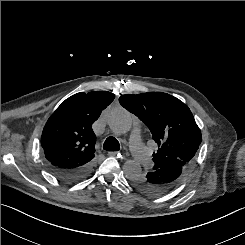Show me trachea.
Here are the masks:
<instances>
[{"label":"trachea","instance_id":"1","mask_svg":"<svg viewBox=\"0 0 245 245\" xmlns=\"http://www.w3.org/2000/svg\"><path fill=\"white\" fill-rule=\"evenodd\" d=\"M103 149L106 151H119L120 145L118 140L114 137H108L103 144Z\"/></svg>","mask_w":245,"mask_h":245}]
</instances>
